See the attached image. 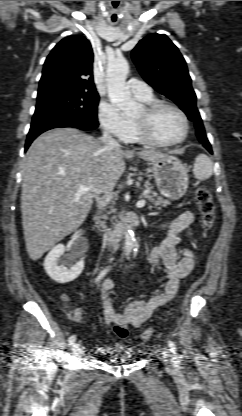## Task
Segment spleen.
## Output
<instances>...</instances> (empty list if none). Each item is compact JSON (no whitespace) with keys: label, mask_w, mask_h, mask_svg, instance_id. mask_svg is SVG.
Listing matches in <instances>:
<instances>
[{"label":"spleen","mask_w":242,"mask_h":416,"mask_svg":"<svg viewBox=\"0 0 242 416\" xmlns=\"http://www.w3.org/2000/svg\"><path fill=\"white\" fill-rule=\"evenodd\" d=\"M193 173L199 180L208 179L213 174V163L205 154H199L194 163Z\"/></svg>","instance_id":"3e777b00"}]
</instances>
